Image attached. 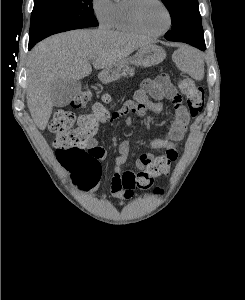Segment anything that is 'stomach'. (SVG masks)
<instances>
[{"label":"stomach","mask_w":245,"mask_h":300,"mask_svg":"<svg viewBox=\"0 0 245 300\" xmlns=\"http://www.w3.org/2000/svg\"><path fill=\"white\" fill-rule=\"evenodd\" d=\"M166 58V52L157 45H148L138 49L136 54L124 58L116 64L105 68L102 73L104 81H113L119 78L130 64L140 67H151L158 65Z\"/></svg>","instance_id":"0dacf381"}]
</instances>
